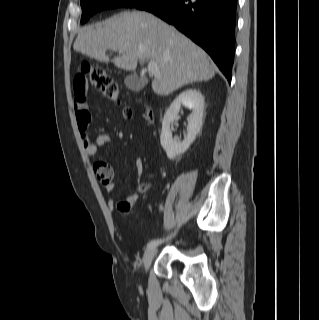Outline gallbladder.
Segmentation results:
<instances>
[{"label": "gallbladder", "instance_id": "obj_1", "mask_svg": "<svg viewBox=\"0 0 319 320\" xmlns=\"http://www.w3.org/2000/svg\"><path fill=\"white\" fill-rule=\"evenodd\" d=\"M124 82L128 89L136 92L142 90L147 83L144 78L139 77L137 74L128 75Z\"/></svg>", "mask_w": 319, "mask_h": 320}]
</instances>
